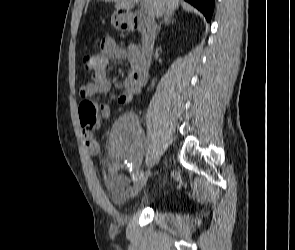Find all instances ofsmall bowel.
<instances>
[{
	"label": "small bowel",
	"mask_w": 295,
	"mask_h": 250,
	"mask_svg": "<svg viewBox=\"0 0 295 250\" xmlns=\"http://www.w3.org/2000/svg\"><path fill=\"white\" fill-rule=\"evenodd\" d=\"M97 68L93 73V80L84 84L80 89L82 98H89L97 94H106L112 88L108 77V67L111 61L128 59L132 71L124 81V89L117 96L119 104L130 103L142 89L141 82L134 73V66L137 62L139 51L135 47L124 49L119 47L114 39L105 37L100 44V52L95 54ZM101 114L104 119L110 117V108L107 105L101 106ZM85 147L90 155H97L101 151L100 143L90 132H84ZM143 149V136L136 116L132 113H125L114 123L109 142V152L113 160L106 177V183L117 200H123L128 195V179L118 172L116 166L125 161L137 164L140 161Z\"/></svg>",
	"instance_id": "small-bowel-1"
}]
</instances>
